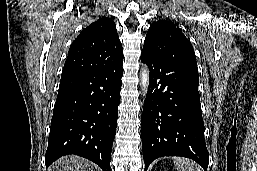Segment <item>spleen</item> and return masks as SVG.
<instances>
[{
	"label": "spleen",
	"instance_id": "1",
	"mask_svg": "<svg viewBox=\"0 0 257 171\" xmlns=\"http://www.w3.org/2000/svg\"><path fill=\"white\" fill-rule=\"evenodd\" d=\"M174 164L178 171H203L197 163L187 158H176Z\"/></svg>",
	"mask_w": 257,
	"mask_h": 171
}]
</instances>
